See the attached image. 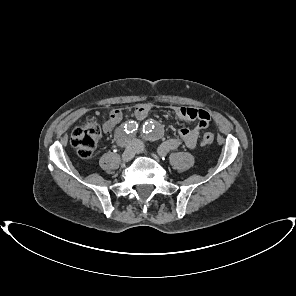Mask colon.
<instances>
[{
	"label": "colon",
	"mask_w": 296,
	"mask_h": 296,
	"mask_svg": "<svg viewBox=\"0 0 296 296\" xmlns=\"http://www.w3.org/2000/svg\"><path fill=\"white\" fill-rule=\"evenodd\" d=\"M101 133L100 126L95 121H88L84 125L73 130L70 144L76 150L79 157L89 159L97 146ZM214 142L212 133H205L201 140L202 146H209Z\"/></svg>",
	"instance_id": "5ec220e1"
}]
</instances>
